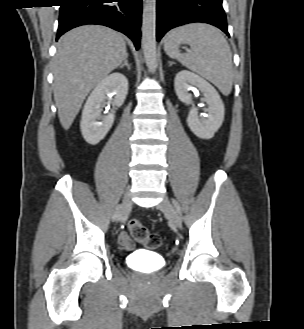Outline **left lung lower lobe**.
<instances>
[{
    "label": "left lung lower lobe",
    "instance_id": "left-lung-lower-lobe-1",
    "mask_svg": "<svg viewBox=\"0 0 304 329\" xmlns=\"http://www.w3.org/2000/svg\"><path fill=\"white\" fill-rule=\"evenodd\" d=\"M192 22L214 25L229 36L222 0H157V41L170 29Z\"/></svg>",
    "mask_w": 304,
    "mask_h": 329
}]
</instances>
